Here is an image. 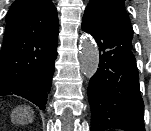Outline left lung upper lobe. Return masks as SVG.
Wrapping results in <instances>:
<instances>
[{
  "mask_svg": "<svg viewBox=\"0 0 151 131\" xmlns=\"http://www.w3.org/2000/svg\"><path fill=\"white\" fill-rule=\"evenodd\" d=\"M84 15H100L116 22L126 23L130 27L131 41L133 29L124 7V0H90ZM132 49V43L129 44Z\"/></svg>",
  "mask_w": 151,
  "mask_h": 131,
  "instance_id": "1",
  "label": "left lung upper lobe"
}]
</instances>
